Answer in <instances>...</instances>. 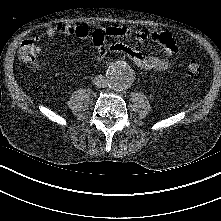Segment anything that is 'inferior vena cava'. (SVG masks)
Instances as JSON below:
<instances>
[{"instance_id": "inferior-vena-cava-1", "label": "inferior vena cava", "mask_w": 221, "mask_h": 221, "mask_svg": "<svg viewBox=\"0 0 221 221\" xmlns=\"http://www.w3.org/2000/svg\"><path fill=\"white\" fill-rule=\"evenodd\" d=\"M93 82L98 88H105L108 84L107 79L103 75L96 76Z\"/></svg>"}]
</instances>
